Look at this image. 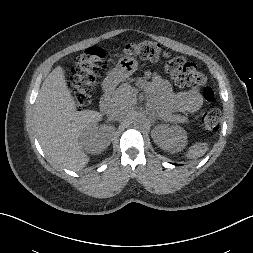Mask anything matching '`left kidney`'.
<instances>
[{
  "label": "left kidney",
  "mask_w": 253,
  "mask_h": 253,
  "mask_svg": "<svg viewBox=\"0 0 253 253\" xmlns=\"http://www.w3.org/2000/svg\"><path fill=\"white\" fill-rule=\"evenodd\" d=\"M151 136L159 147L169 152H179L187 144L186 131L180 126L159 125Z\"/></svg>",
  "instance_id": "5707ae66"
}]
</instances>
